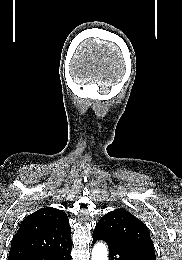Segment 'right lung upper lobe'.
Masks as SVG:
<instances>
[{
  "label": "right lung upper lobe",
  "mask_w": 182,
  "mask_h": 260,
  "mask_svg": "<svg viewBox=\"0 0 182 260\" xmlns=\"http://www.w3.org/2000/svg\"><path fill=\"white\" fill-rule=\"evenodd\" d=\"M66 213L46 207L28 215L13 237L8 260L27 258L71 245Z\"/></svg>",
  "instance_id": "obj_1"
}]
</instances>
